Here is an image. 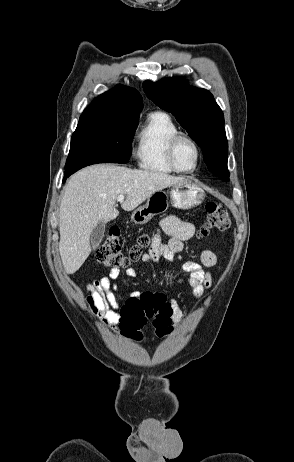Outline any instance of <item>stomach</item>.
<instances>
[{
	"mask_svg": "<svg viewBox=\"0 0 294 462\" xmlns=\"http://www.w3.org/2000/svg\"><path fill=\"white\" fill-rule=\"evenodd\" d=\"M204 197L203 189L187 179L173 185L170 191L171 204L178 209L196 207L202 203ZM168 207V195L163 191H157L147 199L145 205L132 213L131 220L138 225L146 224L155 215L166 212Z\"/></svg>",
	"mask_w": 294,
	"mask_h": 462,
	"instance_id": "stomach-1",
	"label": "stomach"
}]
</instances>
